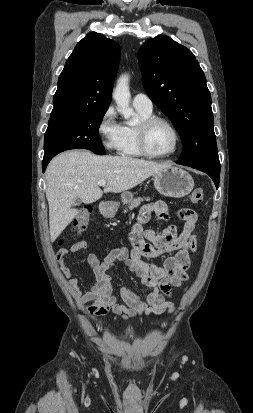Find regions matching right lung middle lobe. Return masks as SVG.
<instances>
[{"label": "right lung middle lobe", "mask_w": 253, "mask_h": 413, "mask_svg": "<svg viewBox=\"0 0 253 413\" xmlns=\"http://www.w3.org/2000/svg\"><path fill=\"white\" fill-rule=\"evenodd\" d=\"M107 110L68 112L50 116L44 158L70 149H104L98 129Z\"/></svg>", "instance_id": "right-lung-middle-lobe-1"}]
</instances>
